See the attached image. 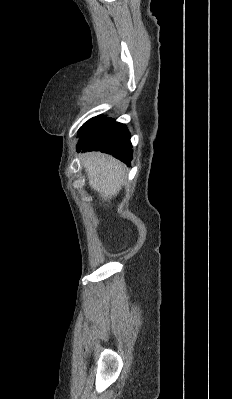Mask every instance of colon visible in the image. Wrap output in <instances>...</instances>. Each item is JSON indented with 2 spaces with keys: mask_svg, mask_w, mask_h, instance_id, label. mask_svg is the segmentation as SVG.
Returning <instances> with one entry per match:
<instances>
[{
  "mask_svg": "<svg viewBox=\"0 0 232 399\" xmlns=\"http://www.w3.org/2000/svg\"><path fill=\"white\" fill-rule=\"evenodd\" d=\"M126 242H131V237H126Z\"/></svg>",
  "mask_w": 232,
  "mask_h": 399,
  "instance_id": "obj_1",
  "label": "colon"
}]
</instances>
